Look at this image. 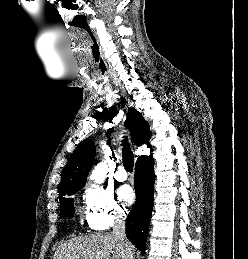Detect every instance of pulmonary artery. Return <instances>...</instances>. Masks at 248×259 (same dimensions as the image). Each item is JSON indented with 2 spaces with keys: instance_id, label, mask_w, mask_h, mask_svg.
I'll return each instance as SVG.
<instances>
[{
  "instance_id": "obj_1",
  "label": "pulmonary artery",
  "mask_w": 248,
  "mask_h": 259,
  "mask_svg": "<svg viewBox=\"0 0 248 259\" xmlns=\"http://www.w3.org/2000/svg\"><path fill=\"white\" fill-rule=\"evenodd\" d=\"M114 177L119 182L126 181L127 180V172H126L125 168L123 166H118L116 171H115Z\"/></svg>"
}]
</instances>
